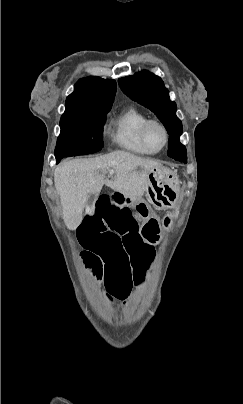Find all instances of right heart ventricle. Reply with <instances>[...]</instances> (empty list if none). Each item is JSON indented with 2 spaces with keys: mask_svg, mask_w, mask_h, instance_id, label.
Segmentation results:
<instances>
[{
  "mask_svg": "<svg viewBox=\"0 0 243 404\" xmlns=\"http://www.w3.org/2000/svg\"><path fill=\"white\" fill-rule=\"evenodd\" d=\"M147 119L146 114L136 106H130L111 119L112 141L121 151L139 155L153 156L159 153L146 146L140 139L139 128Z\"/></svg>",
  "mask_w": 243,
  "mask_h": 404,
  "instance_id": "right-heart-ventricle-1",
  "label": "right heart ventricle"
}]
</instances>
